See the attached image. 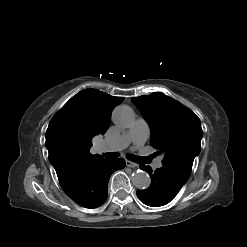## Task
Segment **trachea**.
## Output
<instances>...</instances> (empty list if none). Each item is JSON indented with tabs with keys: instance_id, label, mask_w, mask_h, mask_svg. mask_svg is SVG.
<instances>
[{
	"instance_id": "1",
	"label": "trachea",
	"mask_w": 247,
	"mask_h": 247,
	"mask_svg": "<svg viewBox=\"0 0 247 247\" xmlns=\"http://www.w3.org/2000/svg\"><path fill=\"white\" fill-rule=\"evenodd\" d=\"M104 156L107 158H116V157H118V154L117 153H105ZM128 158L131 161L136 162V163H139L141 161H147V158L136 157L134 155H129Z\"/></svg>"
}]
</instances>
